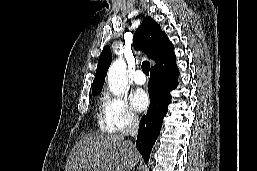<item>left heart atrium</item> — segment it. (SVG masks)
<instances>
[{"label":"left heart atrium","instance_id":"1","mask_svg":"<svg viewBox=\"0 0 257 171\" xmlns=\"http://www.w3.org/2000/svg\"><path fill=\"white\" fill-rule=\"evenodd\" d=\"M131 102L137 111H144L149 105V97L144 91L138 90L131 95Z\"/></svg>","mask_w":257,"mask_h":171}]
</instances>
